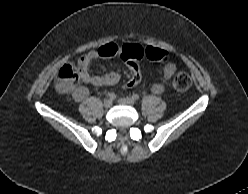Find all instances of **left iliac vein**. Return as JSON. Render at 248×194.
I'll list each match as a JSON object with an SVG mask.
<instances>
[{"instance_id": "left-iliac-vein-1", "label": "left iliac vein", "mask_w": 248, "mask_h": 194, "mask_svg": "<svg viewBox=\"0 0 248 194\" xmlns=\"http://www.w3.org/2000/svg\"><path fill=\"white\" fill-rule=\"evenodd\" d=\"M119 103L122 105H134V100L128 97L120 98Z\"/></svg>"}]
</instances>
